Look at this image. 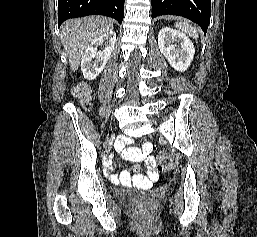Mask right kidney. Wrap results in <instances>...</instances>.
Segmentation results:
<instances>
[{"instance_id":"1","label":"right kidney","mask_w":257,"mask_h":237,"mask_svg":"<svg viewBox=\"0 0 257 237\" xmlns=\"http://www.w3.org/2000/svg\"><path fill=\"white\" fill-rule=\"evenodd\" d=\"M115 42L116 33L109 31L90 43L81 61V70L86 79L94 80L105 68L114 49ZM102 46H105V48L102 51H98V48Z\"/></svg>"}]
</instances>
